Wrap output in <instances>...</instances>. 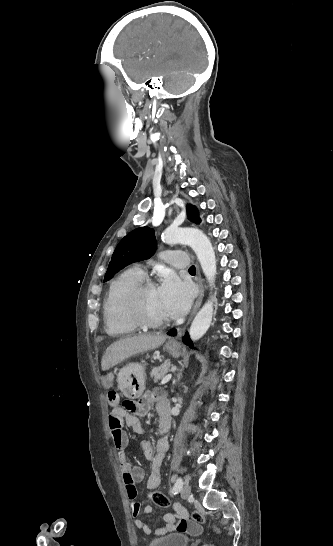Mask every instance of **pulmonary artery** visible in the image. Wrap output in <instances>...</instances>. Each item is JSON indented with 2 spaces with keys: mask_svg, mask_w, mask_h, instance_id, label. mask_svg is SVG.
Returning a JSON list of instances; mask_svg holds the SVG:
<instances>
[{
  "mask_svg": "<svg viewBox=\"0 0 333 546\" xmlns=\"http://www.w3.org/2000/svg\"><path fill=\"white\" fill-rule=\"evenodd\" d=\"M163 255L165 260L175 268H187L188 266L187 255L182 251H166ZM136 269L144 274L143 269L139 265Z\"/></svg>",
  "mask_w": 333,
  "mask_h": 546,
  "instance_id": "e3ab8cb5",
  "label": "pulmonary artery"
}]
</instances>
